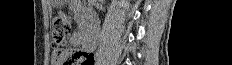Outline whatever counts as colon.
Listing matches in <instances>:
<instances>
[{
  "label": "colon",
  "mask_w": 232,
  "mask_h": 65,
  "mask_svg": "<svg viewBox=\"0 0 232 65\" xmlns=\"http://www.w3.org/2000/svg\"><path fill=\"white\" fill-rule=\"evenodd\" d=\"M70 27L71 18L65 13H60L53 20L52 38L55 61L60 65H92L94 57L91 53L66 47V37Z\"/></svg>",
  "instance_id": "obj_1"
}]
</instances>
